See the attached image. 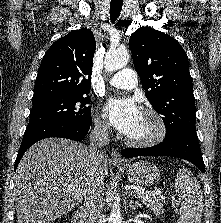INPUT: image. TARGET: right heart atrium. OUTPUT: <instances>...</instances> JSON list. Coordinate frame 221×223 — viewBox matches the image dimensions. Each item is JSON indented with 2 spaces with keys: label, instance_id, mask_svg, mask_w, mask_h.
Here are the masks:
<instances>
[{
  "label": "right heart atrium",
  "instance_id": "1",
  "mask_svg": "<svg viewBox=\"0 0 221 223\" xmlns=\"http://www.w3.org/2000/svg\"><path fill=\"white\" fill-rule=\"evenodd\" d=\"M95 130L100 134H106L109 131L108 124L100 118H96L94 121Z\"/></svg>",
  "mask_w": 221,
  "mask_h": 223
}]
</instances>
